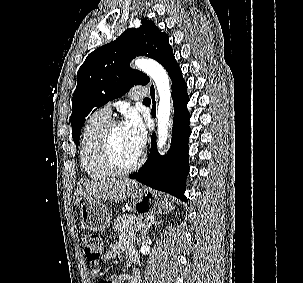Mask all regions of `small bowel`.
<instances>
[{
	"instance_id": "1",
	"label": "small bowel",
	"mask_w": 303,
	"mask_h": 283,
	"mask_svg": "<svg viewBox=\"0 0 303 283\" xmlns=\"http://www.w3.org/2000/svg\"><path fill=\"white\" fill-rule=\"evenodd\" d=\"M126 253L131 259H136L137 254L135 251L134 239L130 235L122 236L116 243L112 244L109 249L104 253V260H113L120 254ZM100 270L95 268L91 271L92 278L99 276ZM136 277L138 283H141V274L138 270H135L132 274L120 275L114 278L115 283H132V279Z\"/></svg>"
}]
</instances>
